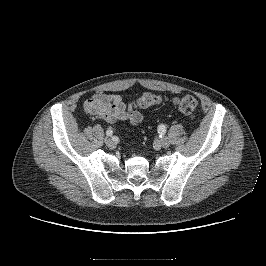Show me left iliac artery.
I'll return each instance as SVG.
<instances>
[{
  "label": "left iliac artery",
  "instance_id": "44dca946",
  "mask_svg": "<svg viewBox=\"0 0 266 266\" xmlns=\"http://www.w3.org/2000/svg\"><path fill=\"white\" fill-rule=\"evenodd\" d=\"M158 132L160 134V136L164 135L166 133V127L164 125H159L158 126Z\"/></svg>",
  "mask_w": 266,
  "mask_h": 266
}]
</instances>
